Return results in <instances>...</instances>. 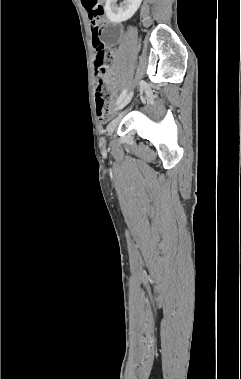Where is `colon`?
<instances>
[{
	"label": "colon",
	"mask_w": 241,
	"mask_h": 379,
	"mask_svg": "<svg viewBox=\"0 0 241 379\" xmlns=\"http://www.w3.org/2000/svg\"><path fill=\"white\" fill-rule=\"evenodd\" d=\"M82 4L91 21L92 43L95 49L96 109L100 120L106 123L114 116V95L106 84V77L108 75L107 60L109 54L99 38L100 21L104 14V9L98 0H82Z\"/></svg>",
	"instance_id": "5ec220e1"
}]
</instances>
